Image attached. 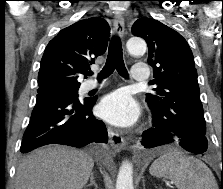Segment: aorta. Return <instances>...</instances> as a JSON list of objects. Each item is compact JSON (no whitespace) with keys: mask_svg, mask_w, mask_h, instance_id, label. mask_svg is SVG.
Returning a JSON list of instances; mask_svg holds the SVG:
<instances>
[{"mask_svg":"<svg viewBox=\"0 0 223 189\" xmlns=\"http://www.w3.org/2000/svg\"><path fill=\"white\" fill-rule=\"evenodd\" d=\"M126 47L131 55L140 56L146 52V42L139 37L130 38ZM116 189H134L133 187V166L128 161H124L119 168L116 181Z\"/></svg>","mask_w":223,"mask_h":189,"instance_id":"aorta-1","label":"aorta"}]
</instances>
